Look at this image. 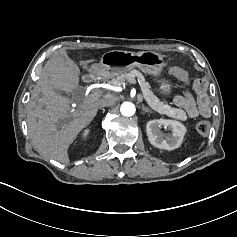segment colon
<instances>
[{"label": "colon", "instance_id": "5ec220e1", "mask_svg": "<svg viewBox=\"0 0 237 237\" xmlns=\"http://www.w3.org/2000/svg\"><path fill=\"white\" fill-rule=\"evenodd\" d=\"M172 73L183 82H189V73L187 70L175 67L172 69ZM196 131L200 135H207L210 131V124L207 121H199L196 124Z\"/></svg>", "mask_w": 237, "mask_h": 237}]
</instances>
